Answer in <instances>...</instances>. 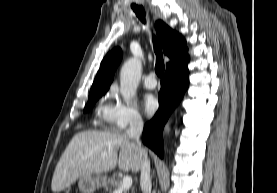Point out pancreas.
<instances>
[{
	"mask_svg": "<svg viewBox=\"0 0 277 193\" xmlns=\"http://www.w3.org/2000/svg\"><path fill=\"white\" fill-rule=\"evenodd\" d=\"M109 184H110V187H109L110 190H116L120 187L121 182L119 179H116L115 177H111L109 179ZM125 193H128V192L126 191Z\"/></svg>",
	"mask_w": 277,
	"mask_h": 193,
	"instance_id": "pancreas-1",
	"label": "pancreas"
}]
</instances>
